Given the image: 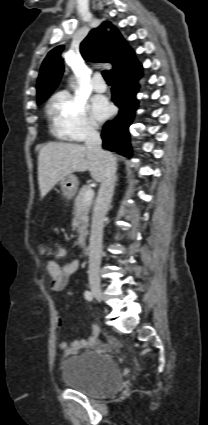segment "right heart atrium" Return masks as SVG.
Masks as SVG:
<instances>
[{
  "label": "right heart atrium",
  "instance_id": "d8ad5b80",
  "mask_svg": "<svg viewBox=\"0 0 208 425\" xmlns=\"http://www.w3.org/2000/svg\"><path fill=\"white\" fill-rule=\"evenodd\" d=\"M50 111L56 132L74 141H84L97 134L85 100L67 91L57 93L51 102Z\"/></svg>",
  "mask_w": 208,
  "mask_h": 425
}]
</instances>
